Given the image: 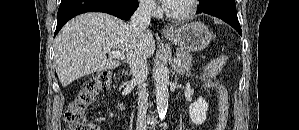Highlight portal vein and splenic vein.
Segmentation results:
<instances>
[{
    "mask_svg": "<svg viewBox=\"0 0 299 130\" xmlns=\"http://www.w3.org/2000/svg\"><path fill=\"white\" fill-rule=\"evenodd\" d=\"M109 56L112 58H117L123 60L125 58L124 54H122L120 51H112L109 53ZM176 64L178 67L181 65L180 59H176Z\"/></svg>",
    "mask_w": 299,
    "mask_h": 130,
    "instance_id": "portal-vein-and-splenic-vein-1",
    "label": "portal vein and splenic vein"
}]
</instances>
